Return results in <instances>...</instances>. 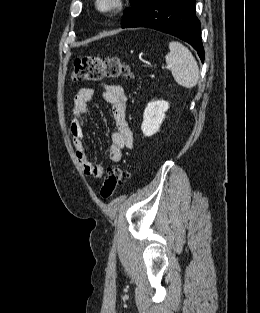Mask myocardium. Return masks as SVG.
<instances>
[{
  "instance_id": "1",
  "label": "myocardium",
  "mask_w": 260,
  "mask_h": 313,
  "mask_svg": "<svg viewBox=\"0 0 260 313\" xmlns=\"http://www.w3.org/2000/svg\"><path fill=\"white\" fill-rule=\"evenodd\" d=\"M104 0H96L95 7L98 12L104 15L114 14L120 11L124 6V0H107V5L103 6Z\"/></svg>"
}]
</instances>
